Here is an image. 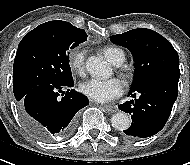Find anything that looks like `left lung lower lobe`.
Segmentation results:
<instances>
[{
    "mask_svg": "<svg viewBox=\"0 0 190 165\" xmlns=\"http://www.w3.org/2000/svg\"><path fill=\"white\" fill-rule=\"evenodd\" d=\"M179 76L163 74L152 77L131 89L134 98L118 106L129 113L131 126L124 131L133 137L146 138L158 133L167 122L178 95ZM139 97L136 98V94Z\"/></svg>",
    "mask_w": 190,
    "mask_h": 165,
    "instance_id": "0a47b994",
    "label": "left lung lower lobe"
}]
</instances>
